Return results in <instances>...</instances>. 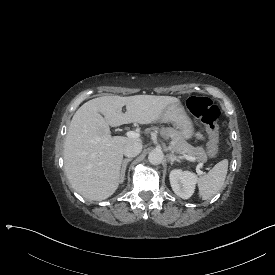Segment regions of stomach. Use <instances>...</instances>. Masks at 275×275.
Returning a JSON list of instances; mask_svg holds the SVG:
<instances>
[{
	"label": "stomach",
	"instance_id": "0dacf381",
	"mask_svg": "<svg viewBox=\"0 0 275 275\" xmlns=\"http://www.w3.org/2000/svg\"><path fill=\"white\" fill-rule=\"evenodd\" d=\"M158 123H173L181 128V134L188 138L192 134L191 121L186 116L183 107L179 103H171L166 106L159 117L155 120Z\"/></svg>",
	"mask_w": 275,
	"mask_h": 275
}]
</instances>
